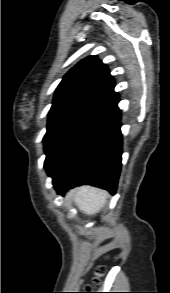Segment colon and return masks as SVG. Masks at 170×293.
I'll return each mask as SVG.
<instances>
[{
    "label": "colon",
    "mask_w": 170,
    "mask_h": 293,
    "mask_svg": "<svg viewBox=\"0 0 170 293\" xmlns=\"http://www.w3.org/2000/svg\"><path fill=\"white\" fill-rule=\"evenodd\" d=\"M106 271V266L104 264H99L95 267V283H98L99 278L105 273ZM92 289L91 286H85L83 292L79 293H92L90 292Z\"/></svg>",
    "instance_id": "colon-1"
}]
</instances>
